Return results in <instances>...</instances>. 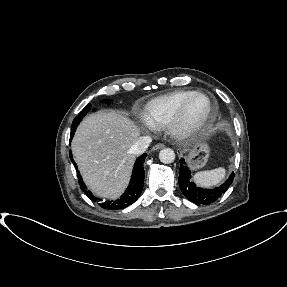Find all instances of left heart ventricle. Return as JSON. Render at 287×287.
<instances>
[{
    "instance_id": "b2bd125f",
    "label": "left heart ventricle",
    "mask_w": 287,
    "mask_h": 287,
    "mask_svg": "<svg viewBox=\"0 0 287 287\" xmlns=\"http://www.w3.org/2000/svg\"><path fill=\"white\" fill-rule=\"evenodd\" d=\"M208 109V102L202 98H196L188 108L187 119L189 122H196L203 117Z\"/></svg>"
}]
</instances>
